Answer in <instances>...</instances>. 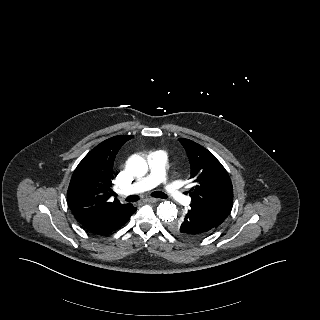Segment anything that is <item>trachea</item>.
<instances>
[{
    "label": "trachea",
    "instance_id": "obj_1",
    "mask_svg": "<svg viewBox=\"0 0 320 320\" xmlns=\"http://www.w3.org/2000/svg\"><path fill=\"white\" fill-rule=\"evenodd\" d=\"M151 195L153 197L162 198V199H165L168 197L164 192H161V191L153 192ZM138 199H139V197L137 195H130L125 199V201L136 202V201H138Z\"/></svg>",
    "mask_w": 320,
    "mask_h": 320
}]
</instances>
